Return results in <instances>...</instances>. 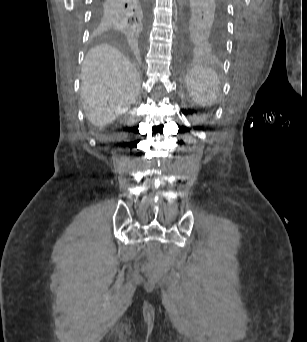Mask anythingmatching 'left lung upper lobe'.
I'll return each instance as SVG.
<instances>
[{"instance_id":"1","label":"left lung upper lobe","mask_w":307,"mask_h":342,"mask_svg":"<svg viewBox=\"0 0 307 342\" xmlns=\"http://www.w3.org/2000/svg\"><path fill=\"white\" fill-rule=\"evenodd\" d=\"M182 33L187 50L222 52L226 39L225 0H184Z\"/></svg>"}]
</instances>
